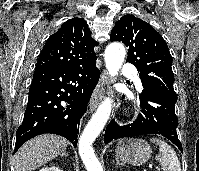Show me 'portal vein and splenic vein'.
I'll return each instance as SVG.
<instances>
[{
  "mask_svg": "<svg viewBox=\"0 0 199 171\" xmlns=\"http://www.w3.org/2000/svg\"><path fill=\"white\" fill-rule=\"evenodd\" d=\"M156 169H157L158 171H160V170H161V168H160V167H156Z\"/></svg>",
  "mask_w": 199,
  "mask_h": 171,
  "instance_id": "obj_1",
  "label": "portal vein and splenic vein"
}]
</instances>
